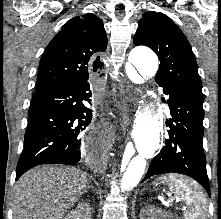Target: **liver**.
<instances>
[{
	"label": "liver",
	"instance_id": "1",
	"mask_svg": "<svg viewBox=\"0 0 221 219\" xmlns=\"http://www.w3.org/2000/svg\"><path fill=\"white\" fill-rule=\"evenodd\" d=\"M88 184L86 174L75 167L33 168L14 187L13 219H62Z\"/></svg>",
	"mask_w": 221,
	"mask_h": 219
}]
</instances>
